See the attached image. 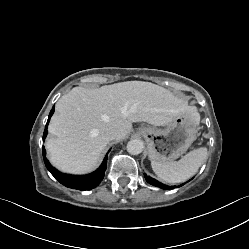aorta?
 Segmentation results:
<instances>
[{"label":"aorta","instance_id":"aorta-1","mask_svg":"<svg viewBox=\"0 0 249 249\" xmlns=\"http://www.w3.org/2000/svg\"><path fill=\"white\" fill-rule=\"evenodd\" d=\"M144 149V143L141 140L133 139L127 143V151L131 155H138Z\"/></svg>","mask_w":249,"mask_h":249}]
</instances>
